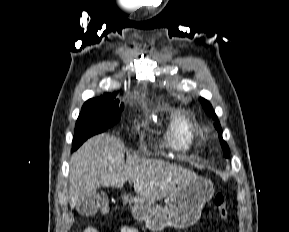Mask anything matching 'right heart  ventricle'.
Segmentation results:
<instances>
[{
    "label": "right heart ventricle",
    "mask_w": 289,
    "mask_h": 232,
    "mask_svg": "<svg viewBox=\"0 0 289 232\" xmlns=\"http://www.w3.org/2000/svg\"><path fill=\"white\" fill-rule=\"evenodd\" d=\"M197 137L196 124L184 111L176 110L166 117L161 131L165 147L175 151H188L194 146Z\"/></svg>",
    "instance_id": "1"
}]
</instances>
